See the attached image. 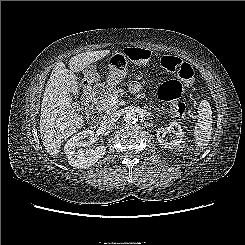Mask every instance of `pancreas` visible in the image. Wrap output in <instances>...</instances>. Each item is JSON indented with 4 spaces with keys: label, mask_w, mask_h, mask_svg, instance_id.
I'll return each mask as SVG.
<instances>
[{
    "label": "pancreas",
    "mask_w": 245,
    "mask_h": 245,
    "mask_svg": "<svg viewBox=\"0 0 245 245\" xmlns=\"http://www.w3.org/2000/svg\"><path fill=\"white\" fill-rule=\"evenodd\" d=\"M123 90L119 89H112L105 93V95L99 100V106L106 112H114L119 108V105H111V98L112 97H119L123 94Z\"/></svg>",
    "instance_id": "obj_1"
}]
</instances>
